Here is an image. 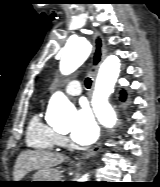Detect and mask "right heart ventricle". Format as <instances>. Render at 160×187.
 <instances>
[{
    "instance_id": "e07e8e85",
    "label": "right heart ventricle",
    "mask_w": 160,
    "mask_h": 187,
    "mask_svg": "<svg viewBox=\"0 0 160 187\" xmlns=\"http://www.w3.org/2000/svg\"><path fill=\"white\" fill-rule=\"evenodd\" d=\"M26 143L33 149L55 151L60 146V138L52 127L41 120L39 115H34L26 130Z\"/></svg>"
}]
</instances>
